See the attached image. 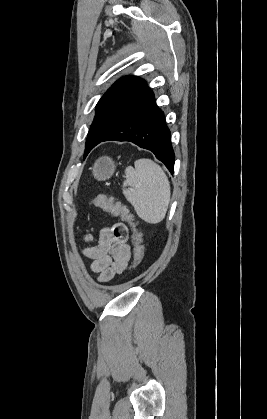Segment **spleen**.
<instances>
[{
    "mask_svg": "<svg viewBox=\"0 0 267 419\" xmlns=\"http://www.w3.org/2000/svg\"><path fill=\"white\" fill-rule=\"evenodd\" d=\"M134 165L135 168L129 166L125 170L123 194L142 220L150 224L160 223L165 218L170 202L168 177L151 159H138Z\"/></svg>",
    "mask_w": 267,
    "mask_h": 419,
    "instance_id": "1",
    "label": "spleen"
}]
</instances>
